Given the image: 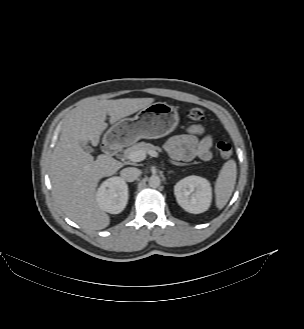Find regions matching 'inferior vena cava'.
Returning a JSON list of instances; mask_svg holds the SVG:
<instances>
[{
  "mask_svg": "<svg viewBox=\"0 0 304 329\" xmlns=\"http://www.w3.org/2000/svg\"><path fill=\"white\" fill-rule=\"evenodd\" d=\"M140 175V171L134 167H127L120 171V176L124 181L133 182Z\"/></svg>",
  "mask_w": 304,
  "mask_h": 329,
  "instance_id": "inferior-vena-cava-1",
  "label": "inferior vena cava"
}]
</instances>
